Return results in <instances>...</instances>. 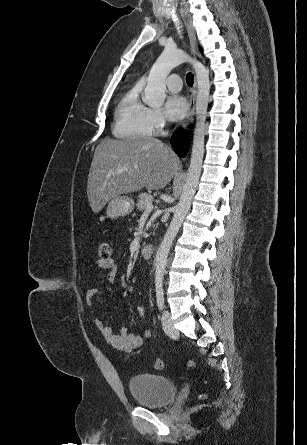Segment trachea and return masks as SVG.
<instances>
[{"label":"trachea","instance_id":"trachea-1","mask_svg":"<svg viewBox=\"0 0 307 445\" xmlns=\"http://www.w3.org/2000/svg\"><path fill=\"white\" fill-rule=\"evenodd\" d=\"M186 82H187V85L189 87H192L193 82H194V76H193L192 73H187V75H186Z\"/></svg>","mask_w":307,"mask_h":445}]
</instances>
